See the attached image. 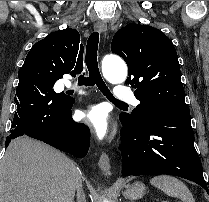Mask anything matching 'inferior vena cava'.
<instances>
[{
	"label": "inferior vena cava",
	"instance_id": "inferior-vena-cava-1",
	"mask_svg": "<svg viewBox=\"0 0 209 202\" xmlns=\"http://www.w3.org/2000/svg\"><path fill=\"white\" fill-rule=\"evenodd\" d=\"M76 190H77V202H86L85 201V195H84L83 190H82L81 178L77 182Z\"/></svg>",
	"mask_w": 209,
	"mask_h": 202
}]
</instances>
